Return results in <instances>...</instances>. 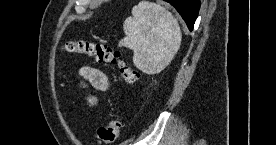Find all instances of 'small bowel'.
<instances>
[{
    "instance_id": "c3829d8e",
    "label": "small bowel",
    "mask_w": 276,
    "mask_h": 145,
    "mask_svg": "<svg viewBox=\"0 0 276 145\" xmlns=\"http://www.w3.org/2000/svg\"><path fill=\"white\" fill-rule=\"evenodd\" d=\"M80 75L85 81L89 82L98 90L105 91L109 89V81L107 76L96 68L84 66L80 70ZM87 103L89 105H94L95 99L93 97H88Z\"/></svg>"
}]
</instances>
